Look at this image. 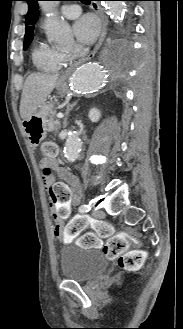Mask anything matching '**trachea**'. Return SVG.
Returning <instances> with one entry per match:
<instances>
[{
  "label": "trachea",
  "instance_id": "obj_1",
  "mask_svg": "<svg viewBox=\"0 0 183 329\" xmlns=\"http://www.w3.org/2000/svg\"><path fill=\"white\" fill-rule=\"evenodd\" d=\"M79 1H81L82 3H84V4H87V5H88V4L90 3V1H91V0H79Z\"/></svg>",
  "mask_w": 183,
  "mask_h": 329
}]
</instances>
